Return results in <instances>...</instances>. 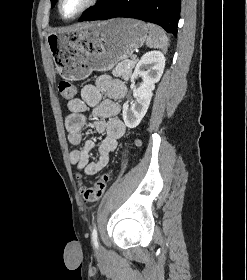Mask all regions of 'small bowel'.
<instances>
[{
    "instance_id": "obj_1",
    "label": "small bowel",
    "mask_w": 247,
    "mask_h": 280,
    "mask_svg": "<svg viewBox=\"0 0 247 280\" xmlns=\"http://www.w3.org/2000/svg\"><path fill=\"white\" fill-rule=\"evenodd\" d=\"M125 95L126 86L122 81L102 76L95 84L85 85L81 89L80 98L69 101V114L65 118L68 141L74 146H81L70 152L69 160L77 166L80 173L92 176L108 164L110 153L116 149L118 140L124 136L126 130L123 121L117 117L120 111L118 101ZM89 108L95 118L94 129L105 134L95 162H89L94 142L86 140L83 134L86 124L84 113Z\"/></svg>"
}]
</instances>
